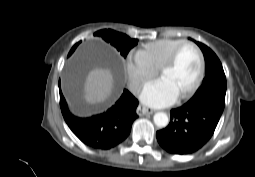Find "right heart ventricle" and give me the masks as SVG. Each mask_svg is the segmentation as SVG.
<instances>
[{"instance_id": "1", "label": "right heart ventricle", "mask_w": 255, "mask_h": 177, "mask_svg": "<svg viewBox=\"0 0 255 177\" xmlns=\"http://www.w3.org/2000/svg\"><path fill=\"white\" fill-rule=\"evenodd\" d=\"M183 39L165 38L145 44L139 53L156 69H159L169 58L172 51Z\"/></svg>"}]
</instances>
